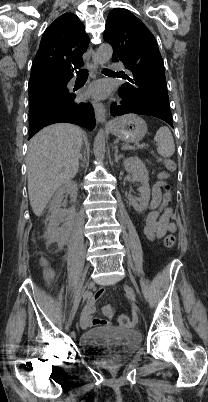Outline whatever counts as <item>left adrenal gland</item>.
Segmentation results:
<instances>
[{
  "instance_id": "1",
  "label": "left adrenal gland",
  "mask_w": 208,
  "mask_h": 402,
  "mask_svg": "<svg viewBox=\"0 0 208 402\" xmlns=\"http://www.w3.org/2000/svg\"><path fill=\"white\" fill-rule=\"evenodd\" d=\"M114 156L116 164H118L120 158H123L122 154H118V146H115L114 148Z\"/></svg>"
}]
</instances>
